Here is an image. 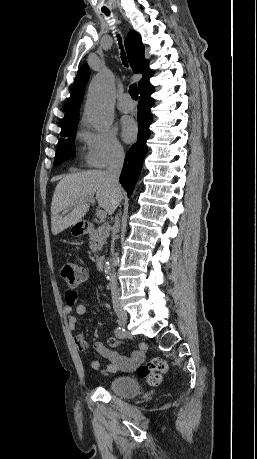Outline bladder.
Wrapping results in <instances>:
<instances>
[{"mask_svg":"<svg viewBox=\"0 0 257 459\" xmlns=\"http://www.w3.org/2000/svg\"><path fill=\"white\" fill-rule=\"evenodd\" d=\"M108 390L122 398H131L141 393V387L135 378L126 375L113 377L108 382Z\"/></svg>","mask_w":257,"mask_h":459,"instance_id":"bladder-1","label":"bladder"}]
</instances>
